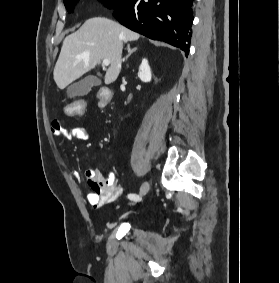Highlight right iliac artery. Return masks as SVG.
I'll return each mask as SVG.
<instances>
[{"mask_svg": "<svg viewBox=\"0 0 280 283\" xmlns=\"http://www.w3.org/2000/svg\"><path fill=\"white\" fill-rule=\"evenodd\" d=\"M128 198H129L130 200H133V201H139V200H141L140 197H139L138 195H136V194H129V195H128Z\"/></svg>", "mask_w": 280, "mask_h": 283, "instance_id": "right-iliac-artery-1", "label": "right iliac artery"}]
</instances>
